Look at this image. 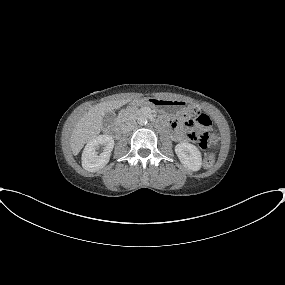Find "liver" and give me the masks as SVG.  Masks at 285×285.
Returning a JSON list of instances; mask_svg holds the SVG:
<instances>
[{"label": "liver", "mask_w": 285, "mask_h": 285, "mask_svg": "<svg viewBox=\"0 0 285 285\" xmlns=\"http://www.w3.org/2000/svg\"><path fill=\"white\" fill-rule=\"evenodd\" d=\"M129 99L102 102L91 109L77 122L70 136V145L77 155L86 143L99 135L104 115L128 103Z\"/></svg>", "instance_id": "1"}]
</instances>
